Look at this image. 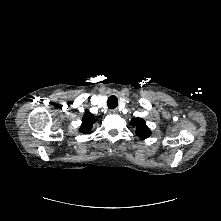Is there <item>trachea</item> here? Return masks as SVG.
<instances>
[{
    "instance_id": "obj_1",
    "label": "trachea",
    "mask_w": 221,
    "mask_h": 221,
    "mask_svg": "<svg viewBox=\"0 0 221 221\" xmlns=\"http://www.w3.org/2000/svg\"><path fill=\"white\" fill-rule=\"evenodd\" d=\"M107 105L109 109H114L117 107L118 105V100L115 96H110L108 101H107Z\"/></svg>"
}]
</instances>
